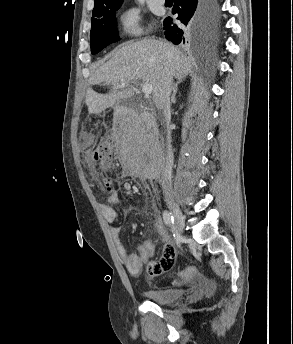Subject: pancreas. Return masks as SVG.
<instances>
[{
  "mask_svg": "<svg viewBox=\"0 0 293 344\" xmlns=\"http://www.w3.org/2000/svg\"><path fill=\"white\" fill-rule=\"evenodd\" d=\"M142 135H143V131L140 128H137L135 130H131V138L139 139L142 137Z\"/></svg>",
  "mask_w": 293,
  "mask_h": 344,
  "instance_id": "pancreas-1",
  "label": "pancreas"
}]
</instances>
